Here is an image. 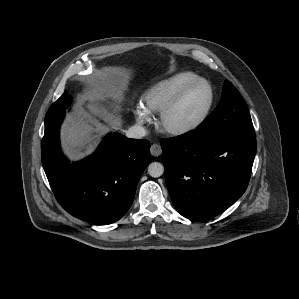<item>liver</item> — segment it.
<instances>
[{"label":"liver","instance_id":"6515ba94","mask_svg":"<svg viewBox=\"0 0 299 299\" xmlns=\"http://www.w3.org/2000/svg\"><path fill=\"white\" fill-rule=\"evenodd\" d=\"M103 75H98L92 77L91 80L102 78ZM104 86L103 91H105L107 97H111L114 101L112 104L118 108L117 103L120 101L122 96V91L117 88H111L113 86H107L106 84H102ZM105 99H101L100 97L89 98L88 102L85 104L86 108L89 112L85 114L88 120L84 118H73L68 119L67 123L63 127L62 131V143L63 148L67 153L72 156H80L85 153H88L94 143L95 136L93 135L96 126L98 129H105L104 126L101 125L93 115H98L105 122L116 125V122H113V118L111 113L109 112L110 107H106L103 104ZM94 124V126H93Z\"/></svg>","mask_w":299,"mask_h":299}]
</instances>
